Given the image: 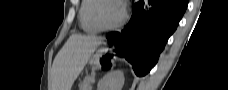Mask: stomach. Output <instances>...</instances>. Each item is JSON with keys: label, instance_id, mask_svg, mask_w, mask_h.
Masks as SVG:
<instances>
[{"label": "stomach", "instance_id": "1", "mask_svg": "<svg viewBox=\"0 0 228 90\" xmlns=\"http://www.w3.org/2000/svg\"><path fill=\"white\" fill-rule=\"evenodd\" d=\"M104 54H105L104 49L98 50L97 53L94 56H92L90 60V64L93 65L94 67H98V66H103L105 64L111 63V59L104 56Z\"/></svg>", "mask_w": 228, "mask_h": 90}]
</instances>
